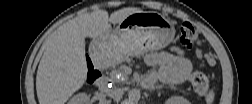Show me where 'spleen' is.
<instances>
[{"label":"spleen","mask_w":252,"mask_h":104,"mask_svg":"<svg viewBox=\"0 0 252 104\" xmlns=\"http://www.w3.org/2000/svg\"><path fill=\"white\" fill-rule=\"evenodd\" d=\"M214 97H215L214 90L211 89V90L209 91V93L207 94V96H206V102H207V103H212L213 100H214Z\"/></svg>","instance_id":"obj_1"}]
</instances>
